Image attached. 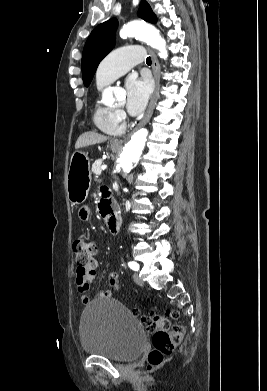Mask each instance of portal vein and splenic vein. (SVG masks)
Instances as JSON below:
<instances>
[{
	"mask_svg": "<svg viewBox=\"0 0 267 391\" xmlns=\"http://www.w3.org/2000/svg\"><path fill=\"white\" fill-rule=\"evenodd\" d=\"M107 168V165H102L101 169L105 170Z\"/></svg>",
	"mask_w": 267,
	"mask_h": 391,
	"instance_id": "1",
	"label": "portal vein and splenic vein"
}]
</instances>
